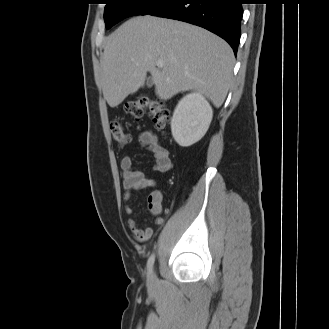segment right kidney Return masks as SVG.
<instances>
[{
  "label": "right kidney",
  "mask_w": 329,
  "mask_h": 329,
  "mask_svg": "<svg viewBox=\"0 0 329 329\" xmlns=\"http://www.w3.org/2000/svg\"><path fill=\"white\" fill-rule=\"evenodd\" d=\"M213 110L202 93L185 95L177 104L171 120L174 140L182 147L198 142L207 132Z\"/></svg>",
  "instance_id": "right-kidney-1"
}]
</instances>
